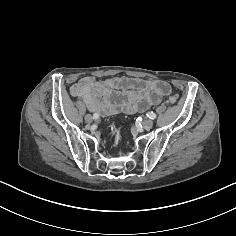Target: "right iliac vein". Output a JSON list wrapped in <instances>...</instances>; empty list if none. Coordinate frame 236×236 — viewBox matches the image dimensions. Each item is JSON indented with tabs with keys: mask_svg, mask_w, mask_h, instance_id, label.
I'll list each match as a JSON object with an SVG mask.
<instances>
[{
	"mask_svg": "<svg viewBox=\"0 0 236 236\" xmlns=\"http://www.w3.org/2000/svg\"><path fill=\"white\" fill-rule=\"evenodd\" d=\"M84 119L87 123H91L93 121V117L91 114H86Z\"/></svg>",
	"mask_w": 236,
	"mask_h": 236,
	"instance_id": "1",
	"label": "right iliac vein"
}]
</instances>
